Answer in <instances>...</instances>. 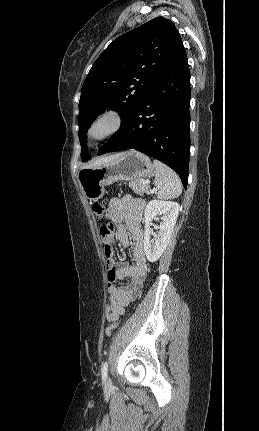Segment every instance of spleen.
Returning a JSON list of instances; mask_svg holds the SVG:
<instances>
[{"mask_svg":"<svg viewBox=\"0 0 259 431\" xmlns=\"http://www.w3.org/2000/svg\"><path fill=\"white\" fill-rule=\"evenodd\" d=\"M156 169L154 184L156 196L161 200L174 199L182 193V183L179 176L164 163L154 160Z\"/></svg>","mask_w":259,"mask_h":431,"instance_id":"1","label":"spleen"}]
</instances>
